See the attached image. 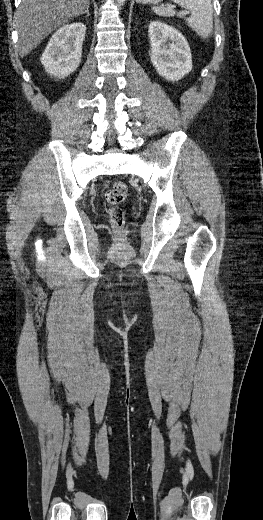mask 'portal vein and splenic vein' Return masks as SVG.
Masks as SVG:
<instances>
[{"instance_id": "1", "label": "portal vein and splenic vein", "mask_w": 263, "mask_h": 520, "mask_svg": "<svg viewBox=\"0 0 263 520\" xmlns=\"http://www.w3.org/2000/svg\"><path fill=\"white\" fill-rule=\"evenodd\" d=\"M169 8H170V9H175L176 6H175V5H169Z\"/></svg>"}]
</instances>
